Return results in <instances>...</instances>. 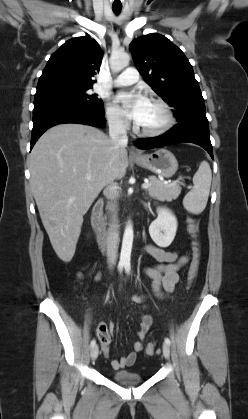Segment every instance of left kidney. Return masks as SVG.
<instances>
[{
  "mask_svg": "<svg viewBox=\"0 0 248 419\" xmlns=\"http://www.w3.org/2000/svg\"><path fill=\"white\" fill-rule=\"evenodd\" d=\"M157 213L158 217L149 226V234L158 246L168 247L176 235L177 219L166 208H158Z\"/></svg>",
  "mask_w": 248,
  "mask_h": 419,
  "instance_id": "left-kidney-1",
  "label": "left kidney"
}]
</instances>
